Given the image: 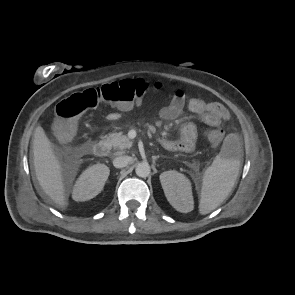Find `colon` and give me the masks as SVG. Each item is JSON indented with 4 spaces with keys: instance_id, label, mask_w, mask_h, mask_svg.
Returning a JSON list of instances; mask_svg holds the SVG:
<instances>
[{
    "instance_id": "1",
    "label": "colon",
    "mask_w": 295,
    "mask_h": 295,
    "mask_svg": "<svg viewBox=\"0 0 295 295\" xmlns=\"http://www.w3.org/2000/svg\"><path fill=\"white\" fill-rule=\"evenodd\" d=\"M159 85H155L158 88ZM143 79H123L91 87L63 99L56 107L54 134L61 142L69 141L77 128L78 119L87 111L102 104L131 109L151 90ZM206 138L218 146L224 138V131L213 128L206 132Z\"/></svg>"
}]
</instances>
